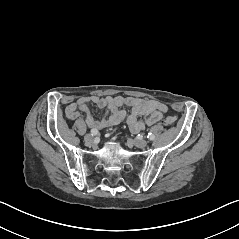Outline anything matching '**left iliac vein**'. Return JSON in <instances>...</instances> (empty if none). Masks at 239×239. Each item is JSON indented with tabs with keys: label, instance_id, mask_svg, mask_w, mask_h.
<instances>
[{
	"label": "left iliac vein",
	"instance_id": "4c4485c4",
	"mask_svg": "<svg viewBox=\"0 0 239 239\" xmlns=\"http://www.w3.org/2000/svg\"><path fill=\"white\" fill-rule=\"evenodd\" d=\"M133 143L138 148H144L147 146V141L143 139H135Z\"/></svg>",
	"mask_w": 239,
	"mask_h": 239
}]
</instances>
